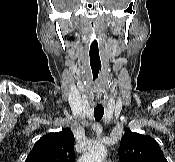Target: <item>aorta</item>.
<instances>
[{"label": "aorta", "mask_w": 175, "mask_h": 162, "mask_svg": "<svg viewBox=\"0 0 175 162\" xmlns=\"http://www.w3.org/2000/svg\"><path fill=\"white\" fill-rule=\"evenodd\" d=\"M107 150L102 144H95L80 158L79 162H102L106 156Z\"/></svg>", "instance_id": "obj_1"}]
</instances>
